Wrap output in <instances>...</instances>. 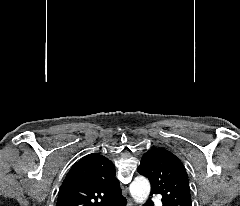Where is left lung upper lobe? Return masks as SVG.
Listing matches in <instances>:
<instances>
[{
    "instance_id": "obj_1",
    "label": "left lung upper lobe",
    "mask_w": 240,
    "mask_h": 206,
    "mask_svg": "<svg viewBox=\"0 0 240 206\" xmlns=\"http://www.w3.org/2000/svg\"><path fill=\"white\" fill-rule=\"evenodd\" d=\"M137 171L151 183V194L162 195L163 206H192L187 173L170 151L153 148L146 152Z\"/></svg>"
}]
</instances>
